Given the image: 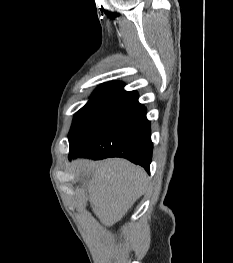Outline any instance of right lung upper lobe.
Returning <instances> with one entry per match:
<instances>
[{
    "instance_id": "obj_1",
    "label": "right lung upper lobe",
    "mask_w": 233,
    "mask_h": 263,
    "mask_svg": "<svg viewBox=\"0 0 233 263\" xmlns=\"http://www.w3.org/2000/svg\"><path fill=\"white\" fill-rule=\"evenodd\" d=\"M124 84L120 82H108L100 85L93 95H102V96H116L119 97L127 91L123 89Z\"/></svg>"
}]
</instances>
